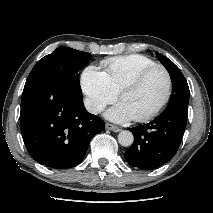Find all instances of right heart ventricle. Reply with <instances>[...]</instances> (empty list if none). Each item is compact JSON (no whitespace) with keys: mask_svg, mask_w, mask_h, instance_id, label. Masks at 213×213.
<instances>
[{"mask_svg":"<svg viewBox=\"0 0 213 213\" xmlns=\"http://www.w3.org/2000/svg\"><path fill=\"white\" fill-rule=\"evenodd\" d=\"M101 65L111 88L118 93L120 88L134 75L156 63L144 55L130 54L105 59Z\"/></svg>","mask_w":213,"mask_h":213,"instance_id":"e07e8e85","label":"right heart ventricle"}]
</instances>
